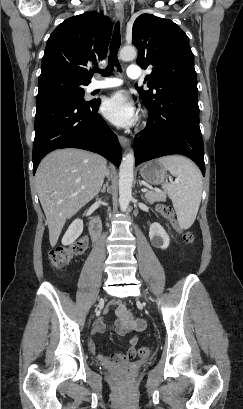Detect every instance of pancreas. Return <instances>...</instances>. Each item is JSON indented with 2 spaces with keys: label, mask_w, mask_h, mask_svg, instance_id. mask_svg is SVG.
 I'll return each mask as SVG.
<instances>
[{
  "label": "pancreas",
  "mask_w": 243,
  "mask_h": 409,
  "mask_svg": "<svg viewBox=\"0 0 243 409\" xmlns=\"http://www.w3.org/2000/svg\"><path fill=\"white\" fill-rule=\"evenodd\" d=\"M145 198H146V201L150 204L165 200L164 194L159 193V192H154V191H147L145 193Z\"/></svg>",
  "instance_id": "pancreas-1"
}]
</instances>
